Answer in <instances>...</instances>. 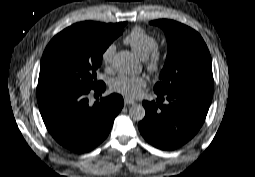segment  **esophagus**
Instances as JSON below:
<instances>
[{"label": "esophagus", "mask_w": 255, "mask_h": 177, "mask_svg": "<svg viewBox=\"0 0 255 177\" xmlns=\"http://www.w3.org/2000/svg\"><path fill=\"white\" fill-rule=\"evenodd\" d=\"M124 103H125L126 105H128V104H135V101L132 100V99H129V98H124Z\"/></svg>", "instance_id": "esophagus-1"}]
</instances>
